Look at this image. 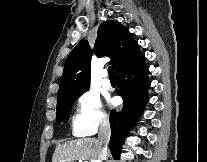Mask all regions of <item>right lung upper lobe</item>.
Here are the masks:
<instances>
[{"label": "right lung upper lobe", "instance_id": "cb5924a9", "mask_svg": "<svg viewBox=\"0 0 207 162\" xmlns=\"http://www.w3.org/2000/svg\"><path fill=\"white\" fill-rule=\"evenodd\" d=\"M94 53L111 58L115 72L142 55L138 43L120 23L108 20L98 29ZM91 49L87 41L80 42L68 56L62 74L58 99L82 95L90 84Z\"/></svg>", "mask_w": 207, "mask_h": 162}]
</instances>
